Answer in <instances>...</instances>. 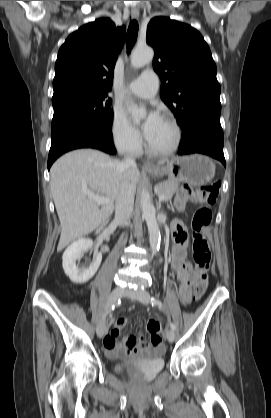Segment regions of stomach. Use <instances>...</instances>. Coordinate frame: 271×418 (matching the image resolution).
I'll use <instances>...</instances> for the list:
<instances>
[{"label": "stomach", "mask_w": 271, "mask_h": 418, "mask_svg": "<svg viewBox=\"0 0 271 418\" xmlns=\"http://www.w3.org/2000/svg\"><path fill=\"white\" fill-rule=\"evenodd\" d=\"M155 176L167 175L169 180L201 186L210 182L215 175V164L202 155L175 157L165 165L149 169Z\"/></svg>", "instance_id": "stomach-1"}]
</instances>
